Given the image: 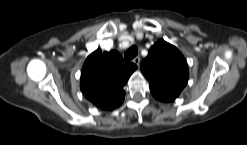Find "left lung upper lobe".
Returning <instances> with one entry per match:
<instances>
[{
	"instance_id": "1",
	"label": "left lung upper lobe",
	"mask_w": 247,
	"mask_h": 145,
	"mask_svg": "<svg viewBox=\"0 0 247 145\" xmlns=\"http://www.w3.org/2000/svg\"><path fill=\"white\" fill-rule=\"evenodd\" d=\"M141 71L151 92L179 96L189 77L188 66L180 51L164 40L157 41L141 63Z\"/></svg>"
}]
</instances>
